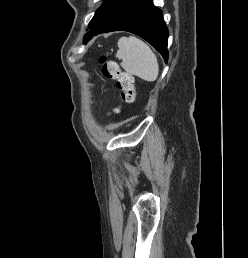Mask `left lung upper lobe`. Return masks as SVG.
<instances>
[{"instance_id": "left-lung-upper-lobe-1", "label": "left lung upper lobe", "mask_w": 248, "mask_h": 258, "mask_svg": "<svg viewBox=\"0 0 248 258\" xmlns=\"http://www.w3.org/2000/svg\"><path fill=\"white\" fill-rule=\"evenodd\" d=\"M128 1L129 0H105L104 3L97 9L94 17L88 25V29L90 30L96 25L100 24Z\"/></svg>"}]
</instances>
